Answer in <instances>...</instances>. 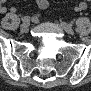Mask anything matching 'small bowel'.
<instances>
[{"mask_svg": "<svg viewBox=\"0 0 91 91\" xmlns=\"http://www.w3.org/2000/svg\"><path fill=\"white\" fill-rule=\"evenodd\" d=\"M37 5L40 7V8H46L48 5H49V1L48 0H37ZM88 7L87 3L84 2V1H81L79 2L76 7H75V10L76 11H84L86 10ZM7 11V8L4 4H1L0 6V12L1 13H5ZM11 12H16V9L15 8H11L10 9Z\"/></svg>", "mask_w": 91, "mask_h": 91, "instance_id": "1", "label": "small bowel"}]
</instances>
